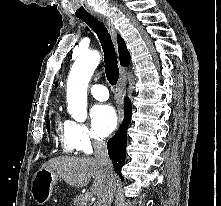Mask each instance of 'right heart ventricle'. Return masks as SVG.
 Returning a JSON list of instances; mask_svg holds the SVG:
<instances>
[{
  "mask_svg": "<svg viewBox=\"0 0 221 206\" xmlns=\"http://www.w3.org/2000/svg\"><path fill=\"white\" fill-rule=\"evenodd\" d=\"M54 125L56 131V140L65 152H72L74 147L73 140V121L64 119L60 111L55 112Z\"/></svg>",
  "mask_w": 221,
  "mask_h": 206,
  "instance_id": "obj_1",
  "label": "right heart ventricle"
}]
</instances>
